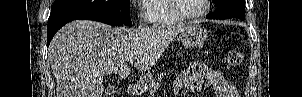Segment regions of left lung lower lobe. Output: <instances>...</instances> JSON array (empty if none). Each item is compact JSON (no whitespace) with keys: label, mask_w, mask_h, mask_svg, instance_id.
<instances>
[{"label":"left lung lower lobe","mask_w":302,"mask_h":97,"mask_svg":"<svg viewBox=\"0 0 302 97\" xmlns=\"http://www.w3.org/2000/svg\"><path fill=\"white\" fill-rule=\"evenodd\" d=\"M207 18H208V19H216L215 17L212 16V14H209V15L207 16Z\"/></svg>","instance_id":"obj_1"}]
</instances>
